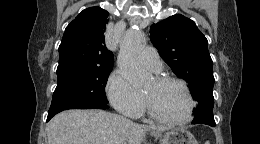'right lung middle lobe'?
<instances>
[{"label":"right lung middle lobe","mask_w":260,"mask_h":144,"mask_svg":"<svg viewBox=\"0 0 260 144\" xmlns=\"http://www.w3.org/2000/svg\"><path fill=\"white\" fill-rule=\"evenodd\" d=\"M112 67L57 69L58 84L48 116L67 109H89L108 103L105 86Z\"/></svg>","instance_id":"dd1d6c3e"}]
</instances>
